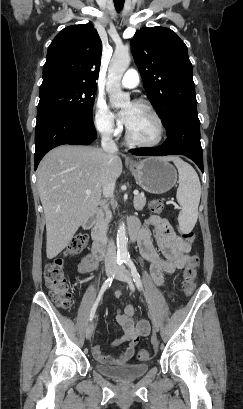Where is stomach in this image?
I'll return each instance as SVG.
<instances>
[{"mask_svg":"<svg viewBox=\"0 0 243 409\" xmlns=\"http://www.w3.org/2000/svg\"><path fill=\"white\" fill-rule=\"evenodd\" d=\"M129 168L138 185L152 194L168 192L177 181L175 168L164 157H148L131 162Z\"/></svg>","mask_w":243,"mask_h":409,"instance_id":"obj_1","label":"stomach"}]
</instances>
